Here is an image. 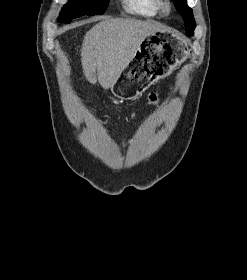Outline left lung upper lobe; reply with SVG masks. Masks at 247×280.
I'll return each instance as SVG.
<instances>
[{"mask_svg":"<svg viewBox=\"0 0 247 280\" xmlns=\"http://www.w3.org/2000/svg\"><path fill=\"white\" fill-rule=\"evenodd\" d=\"M174 1L177 7V11L182 15V18L185 22L186 33L191 36L193 34L194 28L196 27L192 9L188 7L186 3L187 0H174Z\"/></svg>","mask_w":247,"mask_h":280,"instance_id":"1","label":"left lung upper lobe"}]
</instances>
